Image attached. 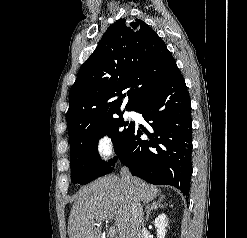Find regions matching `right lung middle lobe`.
Here are the masks:
<instances>
[{"instance_id":"right-lung-middle-lobe-1","label":"right lung middle lobe","mask_w":247,"mask_h":238,"mask_svg":"<svg viewBox=\"0 0 247 238\" xmlns=\"http://www.w3.org/2000/svg\"><path fill=\"white\" fill-rule=\"evenodd\" d=\"M133 124V122H125L122 114H120L119 117H113L85 131L81 137L70 146L72 182L86 184L100 176L110 173L117 161V156L110 161L109 165H104L100 161L97 152L98 141L107 134L114 144L115 153L119 156Z\"/></svg>"}]
</instances>
